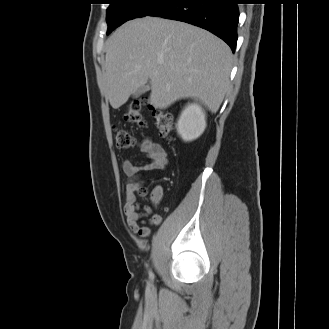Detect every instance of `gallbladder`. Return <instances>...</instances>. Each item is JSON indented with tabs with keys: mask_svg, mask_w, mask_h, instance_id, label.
Masks as SVG:
<instances>
[{
	"mask_svg": "<svg viewBox=\"0 0 329 329\" xmlns=\"http://www.w3.org/2000/svg\"><path fill=\"white\" fill-rule=\"evenodd\" d=\"M151 89V83L148 82L142 86H140L134 93L133 96L134 97H139L140 95H142L143 93L149 91Z\"/></svg>",
	"mask_w": 329,
	"mask_h": 329,
	"instance_id": "bac80fb5",
	"label": "gallbladder"
}]
</instances>
